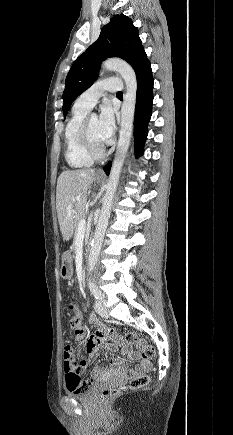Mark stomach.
<instances>
[{
    "mask_svg": "<svg viewBox=\"0 0 233 435\" xmlns=\"http://www.w3.org/2000/svg\"><path fill=\"white\" fill-rule=\"evenodd\" d=\"M96 181H97V183H100L102 180L100 178H96ZM60 276L63 279H70L73 276L72 258L70 256V254H68V253H66L62 256Z\"/></svg>",
    "mask_w": 233,
    "mask_h": 435,
    "instance_id": "1",
    "label": "stomach"
}]
</instances>
